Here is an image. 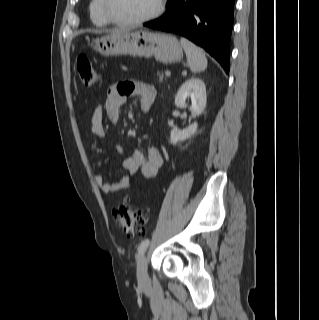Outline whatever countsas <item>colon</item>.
Masks as SVG:
<instances>
[{"label": "colon", "mask_w": 319, "mask_h": 320, "mask_svg": "<svg viewBox=\"0 0 319 320\" xmlns=\"http://www.w3.org/2000/svg\"><path fill=\"white\" fill-rule=\"evenodd\" d=\"M76 64L83 85L91 87L98 83L100 75L87 56L79 55ZM114 217L118 226L125 231L128 237L134 238L143 233L144 223L139 214L129 204L123 203L116 207Z\"/></svg>", "instance_id": "5ec220e1"}]
</instances>
